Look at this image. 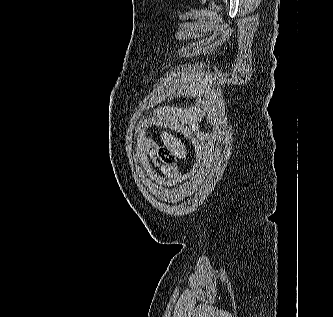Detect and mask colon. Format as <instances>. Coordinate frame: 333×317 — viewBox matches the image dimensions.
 Returning <instances> with one entry per match:
<instances>
[{
	"label": "colon",
	"mask_w": 333,
	"mask_h": 317,
	"mask_svg": "<svg viewBox=\"0 0 333 317\" xmlns=\"http://www.w3.org/2000/svg\"><path fill=\"white\" fill-rule=\"evenodd\" d=\"M159 157L162 161L166 162V163H172L173 162V157L171 156V154L164 150V149H160L159 150Z\"/></svg>",
	"instance_id": "colon-1"
}]
</instances>
